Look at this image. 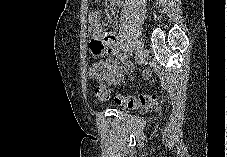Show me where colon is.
<instances>
[{
	"instance_id": "5ec220e1",
	"label": "colon",
	"mask_w": 227,
	"mask_h": 157,
	"mask_svg": "<svg viewBox=\"0 0 227 157\" xmlns=\"http://www.w3.org/2000/svg\"><path fill=\"white\" fill-rule=\"evenodd\" d=\"M90 74L93 77H100L104 73V65L100 60L91 63L89 68ZM95 96L99 101H106L111 96V91L108 86L99 84L95 88ZM117 104H121L130 109L154 106L158 104V99L154 95L139 94L137 96L118 95L115 98Z\"/></svg>"
}]
</instances>
